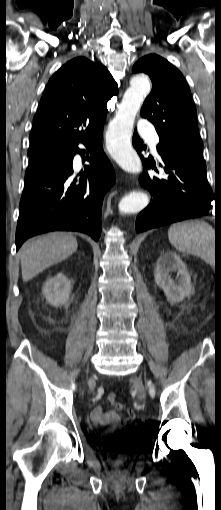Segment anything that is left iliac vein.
<instances>
[{
  "instance_id": "4c4485c4",
  "label": "left iliac vein",
  "mask_w": 221,
  "mask_h": 510,
  "mask_svg": "<svg viewBox=\"0 0 221 510\" xmlns=\"http://www.w3.org/2000/svg\"><path fill=\"white\" fill-rule=\"evenodd\" d=\"M131 383H132L133 387L136 389L139 399L144 401L146 398V393H145V389H144L141 379L134 376L131 378ZM149 386L151 388H153L150 382H149Z\"/></svg>"
}]
</instances>
